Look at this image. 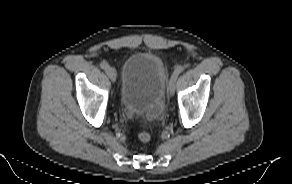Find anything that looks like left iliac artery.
I'll list each match as a JSON object with an SVG mask.
<instances>
[{"label":"left iliac artery","instance_id":"1","mask_svg":"<svg viewBox=\"0 0 292 184\" xmlns=\"http://www.w3.org/2000/svg\"><path fill=\"white\" fill-rule=\"evenodd\" d=\"M184 70L183 66H177L176 69L174 70L172 76L176 75L178 77V75Z\"/></svg>","mask_w":292,"mask_h":184}]
</instances>
